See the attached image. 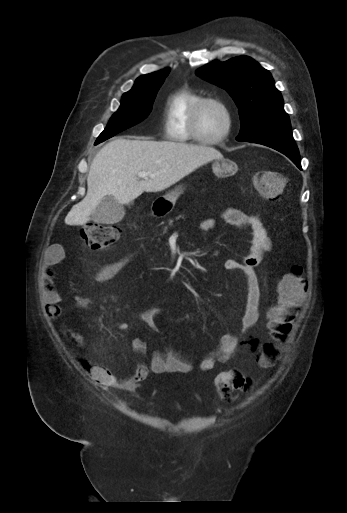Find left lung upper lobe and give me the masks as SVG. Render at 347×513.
Segmentation results:
<instances>
[{
	"label": "left lung upper lobe",
	"mask_w": 347,
	"mask_h": 513,
	"mask_svg": "<svg viewBox=\"0 0 347 513\" xmlns=\"http://www.w3.org/2000/svg\"><path fill=\"white\" fill-rule=\"evenodd\" d=\"M196 74L225 89L235 101L241 120L237 141L247 142L270 132L291 129L281 93L270 72L252 58L213 61Z\"/></svg>",
	"instance_id": "obj_1"
}]
</instances>
